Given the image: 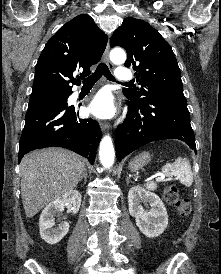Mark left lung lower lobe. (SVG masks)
<instances>
[{
  "mask_svg": "<svg viewBox=\"0 0 221 274\" xmlns=\"http://www.w3.org/2000/svg\"><path fill=\"white\" fill-rule=\"evenodd\" d=\"M162 139H179L196 152L190 113L185 100H130L127 117L118 126L115 148L118 161L141 146Z\"/></svg>",
  "mask_w": 221,
  "mask_h": 274,
  "instance_id": "left-lung-lower-lobe-1",
  "label": "left lung lower lobe"
}]
</instances>
